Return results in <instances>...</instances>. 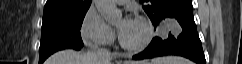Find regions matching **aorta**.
Wrapping results in <instances>:
<instances>
[{"instance_id": "aorta-1", "label": "aorta", "mask_w": 242, "mask_h": 64, "mask_svg": "<svg viewBox=\"0 0 242 64\" xmlns=\"http://www.w3.org/2000/svg\"><path fill=\"white\" fill-rule=\"evenodd\" d=\"M95 6L100 15L110 24L118 22L122 12L117 8L114 0H94Z\"/></svg>"}]
</instances>
